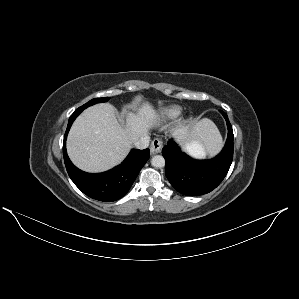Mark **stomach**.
Instances as JSON below:
<instances>
[{
  "label": "stomach",
  "mask_w": 299,
  "mask_h": 299,
  "mask_svg": "<svg viewBox=\"0 0 299 299\" xmlns=\"http://www.w3.org/2000/svg\"><path fill=\"white\" fill-rule=\"evenodd\" d=\"M199 147H202L200 144V141L198 139H194L193 141H191L190 143H188L186 145V148L191 152V153H196V149H198Z\"/></svg>",
  "instance_id": "stomach-1"
}]
</instances>
